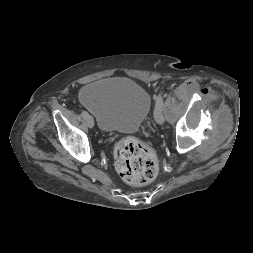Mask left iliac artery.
<instances>
[{
  "mask_svg": "<svg viewBox=\"0 0 253 253\" xmlns=\"http://www.w3.org/2000/svg\"><path fill=\"white\" fill-rule=\"evenodd\" d=\"M159 104H162L164 106V101L161 95H158L156 97L155 107H157Z\"/></svg>",
  "mask_w": 253,
  "mask_h": 253,
  "instance_id": "44dca946",
  "label": "left iliac artery"
}]
</instances>
